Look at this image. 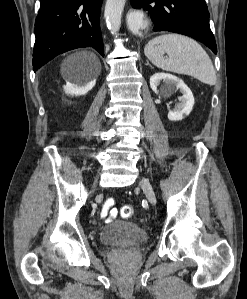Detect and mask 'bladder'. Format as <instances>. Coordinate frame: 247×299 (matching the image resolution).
<instances>
[{
    "label": "bladder",
    "mask_w": 247,
    "mask_h": 299,
    "mask_svg": "<svg viewBox=\"0 0 247 299\" xmlns=\"http://www.w3.org/2000/svg\"><path fill=\"white\" fill-rule=\"evenodd\" d=\"M99 239L104 245L117 246L146 243L149 239V235L144 228L136 223L115 221L101 230Z\"/></svg>",
    "instance_id": "1"
}]
</instances>
